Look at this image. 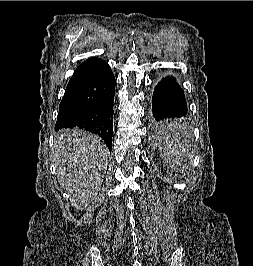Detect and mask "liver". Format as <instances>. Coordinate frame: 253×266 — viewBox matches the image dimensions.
Wrapping results in <instances>:
<instances>
[{
  "instance_id": "6515ba94",
  "label": "liver",
  "mask_w": 253,
  "mask_h": 266,
  "mask_svg": "<svg viewBox=\"0 0 253 266\" xmlns=\"http://www.w3.org/2000/svg\"><path fill=\"white\" fill-rule=\"evenodd\" d=\"M57 178L77 211L95 199L107 167L108 149L103 140L84 130H62L53 149Z\"/></svg>"
}]
</instances>
